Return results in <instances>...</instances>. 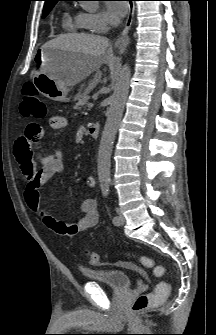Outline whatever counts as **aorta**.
<instances>
[{"label": "aorta", "mask_w": 216, "mask_h": 335, "mask_svg": "<svg viewBox=\"0 0 216 335\" xmlns=\"http://www.w3.org/2000/svg\"><path fill=\"white\" fill-rule=\"evenodd\" d=\"M130 77L131 69L129 65L125 64L116 77L113 93L110 97V107L98 151V179L102 187L109 186L111 182L110 164L113 141L128 97Z\"/></svg>", "instance_id": "1"}]
</instances>
